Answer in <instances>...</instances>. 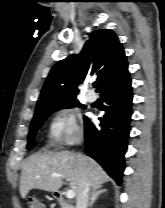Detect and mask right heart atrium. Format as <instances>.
<instances>
[{
	"label": "right heart atrium",
	"instance_id": "right-heart-atrium-1",
	"mask_svg": "<svg viewBox=\"0 0 165 208\" xmlns=\"http://www.w3.org/2000/svg\"><path fill=\"white\" fill-rule=\"evenodd\" d=\"M49 134L55 143L68 145L76 143L82 135L76 111L74 109L61 110L52 120Z\"/></svg>",
	"mask_w": 165,
	"mask_h": 208
}]
</instances>
